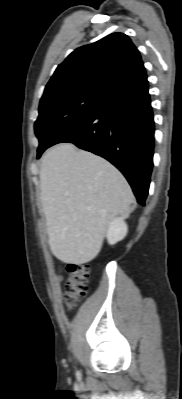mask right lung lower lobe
<instances>
[{
	"mask_svg": "<svg viewBox=\"0 0 182 399\" xmlns=\"http://www.w3.org/2000/svg\"><path fill=\"white\" fill-rule=\"evenodd\" d=\"M148 87L147 81L110 94L98 109L57 133L50 145L70 142L104 157L123 173L141 205L148 195L154 151Z\"/></svg>",
	"mask_w": 182,
	"mask_h": 399,
	"instance_id": "1",
	"label": "right lung lower lobe"
}]
</instances>
